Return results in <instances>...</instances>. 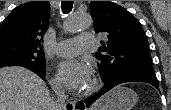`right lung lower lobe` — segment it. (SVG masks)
<instances>
[{"mask_svg":"<svg viewBox=\"0 0 171 110\" xmlns=\"http://www.w3.org/2000/svg\"><path fill=\"white\" fill-rule=\"evenodd\" d=\"M35 73H37V72H35ZM37 74H38V76H39L40 78H42V79L45 78V74H42V73H37Z\"/></svg>","mask_w":171,"mask_h":110,"instance_id":"98d812e1","label":"right lung lower lobe"}]
</instances>
